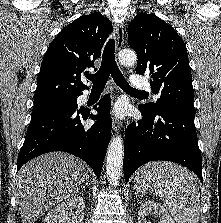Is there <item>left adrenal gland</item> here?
Instances as JSON below:
<instances>
[{
	"label": "left adrenal gland",
	"mask_w": 221,
	"mask_h": 223,
	"mask_svg": "<svg viewBox=\"0 0 221 223\" xmlns=\"http://www.w3.org/2000/svg\"><path fill=\"white\" fill-rule=\"evenodd\" d=\"M139 195H138V193H136V197H138Z\"/></svg>",
	"instance_id": "left-adrenal-gland-1"
}]
</instances>
